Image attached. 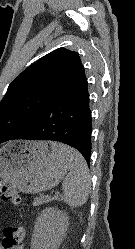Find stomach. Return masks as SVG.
<instances>
[{
	"mask_svg": "<svg viewBox=\"0 0 135 249\" xmlns=\"http://www.w3.org/2000/svg\"><path fill=\"white\" fill-rule=\"evenodd\" d=\"M47 141H16L0 148V177L26 194L56 186L69 169L68 162Z\"/></svg>",
	"mask_w": 135,
	"mask_h": 249,
	"instance_id": "1",
	"label": "stomach"
}]
</instances>
